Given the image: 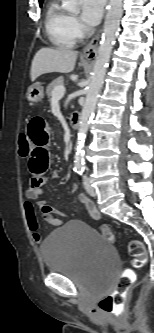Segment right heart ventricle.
<instances>
[{
	"mask_svg": "<svg viewBox=\"0 0 154 333\" xmlns=\"http://www.w3.org/2000/svg\"><path fill=\"white\" fill-rule=\"evenodd\" d=\"M71 16L58 0H52L46 11L45 28L50 41L58 48H70L77 43V37L70 25Z\"/></svg>",
	"mask_w": 154,
	"mask_h": 333,
	"instance_id": "right-heart-ventricle-1",
	"label": "right heart ventricle"
}]
</instances>
